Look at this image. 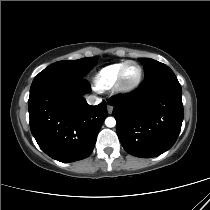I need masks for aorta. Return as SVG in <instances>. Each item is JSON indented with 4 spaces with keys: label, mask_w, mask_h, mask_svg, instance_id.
<instances>
[{
    "label": "aorta",
    "mask_w": 210,
    "mask_h": 210,
    "mask_svg": "<svg viewBox=\"0 0 210 210\" xmlns=\"http://www.w3.org/2000/svg\"><path fill=\"white\" fill-rule=\"evenodd\" d=\"M105 124L107 127H114L116 125V120L113 117H107L105 120Z\"/></svg>",
    "instance_id": "762f6f07"
}]
</instances>
